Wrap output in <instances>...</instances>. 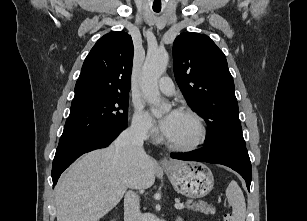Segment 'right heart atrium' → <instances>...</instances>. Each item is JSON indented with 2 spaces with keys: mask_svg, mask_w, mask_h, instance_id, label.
<instances>
[{
  "mask_svg": "<svg viewBox=\"0 0 307 221\" xmlns=\"http://www.w3.org/2000/svg\"><path fill=\"white\" fill-rule=\"evenodd\" d=\"M132 129L139 137L145 140H153L157 137L156 128L139 104L134 107Z\"/></svg>",
  "mask_w": 307,
  "mask_h": 221,
  "instance_id": "right-heart-atrium-1",
  "label": "right heart atrium"
}]
</instances>
